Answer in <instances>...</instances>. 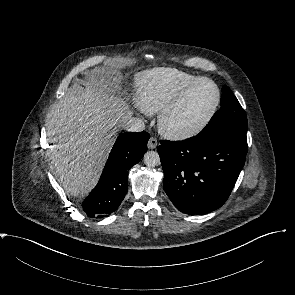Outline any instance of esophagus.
<instances>
[{"label": "esophagus", "instance_id": "1", "mask_svg": "<svg viewBox=\"0 0 295 295\" xmlns=\"http://www.w3.org/2000/svg\"><path fill=\"white\" fill-rule=\"evenodd\" d=\"M157 145H158L157 139L155 137H151L148 141L147 147L149 149H154L157 147Z\"/></svg>", "mask_w": 295, "mask_h": 295}]
</instances>
